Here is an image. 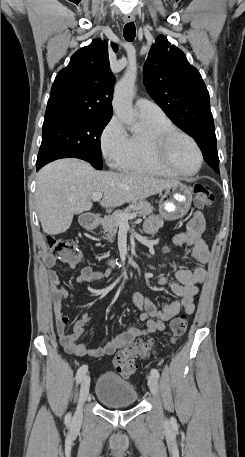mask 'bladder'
<instances>
[{
  "label": "bladder",
  "instance_id": "31cf9c89",
  "mask_svg": "<svg viewBox=\"0 0 245 457\" xmlns=\"http://www.w3.org/2000/svg\"><path fill=\"white\" fill-rule=\"evenodd\" d=\"M96 397L105 406H129L137 402L135 386L112 374H103L99 377Z\"/></svg>",
  "mask_w": 245,
  "mask_h": 457
}]
</instances>
